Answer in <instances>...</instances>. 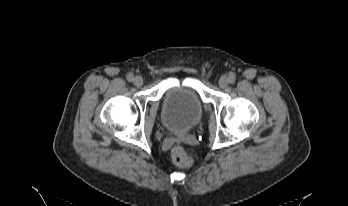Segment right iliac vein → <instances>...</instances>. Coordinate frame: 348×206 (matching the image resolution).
<instances>
[{
    "instance_id": "1",
    "label": "right iliac vein",
    "mask_w": 348,
    "mask_h": 206,
    "mask_svg": "<svg viewBox=\"0 0 348 206\" xmlns=\"http://www.w3.org/2000/svg\"><path fill=\"white\" fill-rule=\"evenodd\" d=\"M133 83H134L135 86L140 87L143 84V78L141 76H136L133 79Z\"/></svg>"
}]
</instances>
